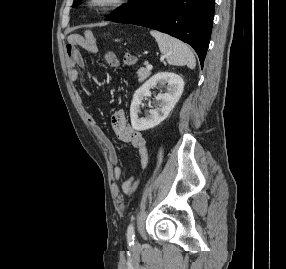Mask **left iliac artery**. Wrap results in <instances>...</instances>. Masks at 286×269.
I'll use <instances>...</instances> for the list:
<instances>
[{"mask_svg": "<svg viewBox=\"0 0 286 269\" xmlns=\"http://www.w3.org/2000/svg\"><path fill=\"white\" fill-rule=\"evenodd\" d=\"M134 237V226L133 223H131L127 228V241L130 246L134 244Z\"/></svg>", "mask_w": 286, "mask_h": 269, "instance_id": "obj_1", "label": "left iliac artery"}]
</instances>
